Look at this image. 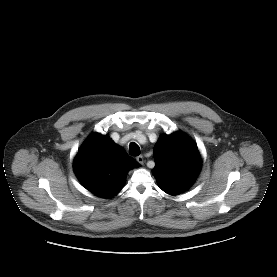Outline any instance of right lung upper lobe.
Masks as SVG:
<instances>
[{
  "label": "right lung upper lobe",
  "mask_w": 277,
  "mask_h": 277,
  "mask_svg": "<svg viewBox=\"0 0 277 277\" xmlns=\"http://www.w3.org/2000/svg\"><path fill=\"white\" fill-rule=\"evenodd\" d=\"M73 166L86 189L110 198L123 188L128 171L139 164L108 136L94 133L78 151Z\"/></svg>",
  "instance_id": "right-lung-upper-lobe-1"
}]
</instances>
